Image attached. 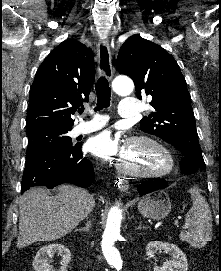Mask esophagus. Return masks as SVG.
<instances>
[{
  "instance_id": "34e87169",
  "label": "esophagus",
  "mask_w": 221,
  "mask_h": 271,
  "mask_svg": "<svg viewBox=\"0 0 221 271\" xmlns=\"http://www.w3.org/2000/svg\"><path fill=\"white\" fill-rule=\"evenodd\" d=\"M98 50V73L100 76H104L107 80H111L113 77V70L111 65V53L109 44L106 39L99 41L97 45ZM120 189L126 190L128 188V181L123 177H119Z\"/></svg>"
}]
</instances>
